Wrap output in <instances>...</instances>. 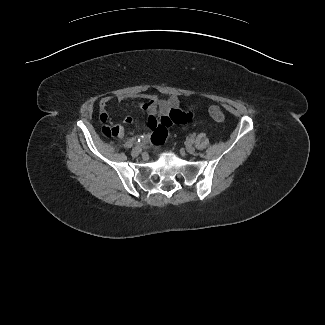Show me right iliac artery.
<instances>
[{"instance_id":"right-iliac-artery-1","label":"right iliac artery","mask_w":325,"mask_h":325,"mask_svg":"<svg viewBox=\"0 0 325 325\" xmlns=\"http://www.w3.org/2000/svg\"><path fill=\"white\" fill-rule=\"evenodd\" d=\"M132 146H133V142H131V141H128L125 143V147H127V148H131Z\"/></svg>"}]
</instances>
